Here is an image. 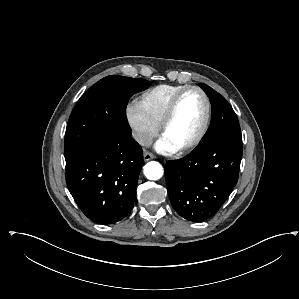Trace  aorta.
Returning a JSON list of instances; mask_svg holds the SVG:
<instances>
[{
    "instance_id": "1",
    "label": "aorta",
    "mask_w": 299,
    "mask_h": 299,
    "mask_svg": "<svg viewBox=\"0 0 299 299\" xmlns=\"http://www.w3.org/2000/svg\"><path fill=\"white\" fill-rule=\"evenodd\" d=\"M144 175L149 180H158L163 176L164 170L159 162L151 161L144 166Z\"/></svg>"
}]
</instances>
